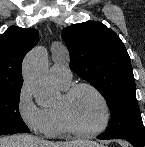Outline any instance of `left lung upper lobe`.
I'll return each instance as SVG.
<instances>
[{"mask_svg":"<svg viewBox=\"0 0 145 147\" xmlns=\"http://www.w3.org/2000/svg\"><path fill=\"white\" fill-rule=\"evenodd\" d=\"M62 37L70 53V68L107 101L111 119L102 135L145 141L130 57L118 35L92 21L66 27Z\"/></svg>","mask_w":145,"mask_h":147,"instance_id":"5c2ea615","label":"left lung upper lobe"}]
</instances>
